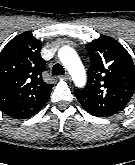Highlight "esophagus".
<instances>
[{
	"instance_id": "esophagus-1",
	"label": "esophagus",
	"mask_w": 135,
	"mask_h": 165,
	"mask_svg": "<svg viewBox=\"0 0 135 165\" xmlns=\"http://www.w3.org/2000/svg\"><path fill=\"white\" fill-rule=\"evenodd\" d=\"M60 77H62V78L65 79V80H70V78H71V76H70L69 73H65V75L60 76Z\"/></svg>"
}]
</instances>
